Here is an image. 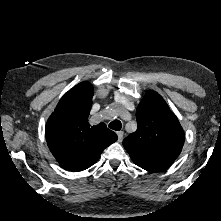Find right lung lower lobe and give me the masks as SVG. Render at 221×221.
<instances>
[{
  "mask_svg": "<svg viewBox=\"0 0 221 221\" xmlns=\"http://www.w3.org/2000/svg\"><path fill=\"white\" fill-rule=\"evenodd\" d=\"M88 168V167H87ZM87 168H84V169H81V170H77V171H82V170H85V169H87Z\"/></svg>",
  "mask_w": 221,
  "mask_h": 221,
  "instance_id": "right-lung-lower-lobe-1",
  "label": "right lung lower lobe"
}]
</instances>
